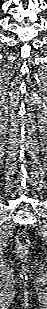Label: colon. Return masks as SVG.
Instances as JSON below:
<instances>
[{"mask_svg":"<svg viewBox=\"0 0 47 309\" xmlns=\"http://www.w3.org/2000/svg\"><path fill=\"white\" fill-rule=\"evenodd\" d=\"M16 245L18 253L21 257H24L27 254L29 248V239L28 237L20 232L16 237Z\"/></svg>","mask_w":47,"mask_h":309,"instance_id":"1","label":"colon"}]
</instances>
